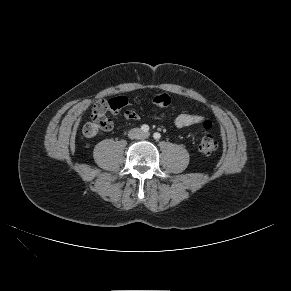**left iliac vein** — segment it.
Instances as JSON below:
<instances>
[{
    "label": "left iliac vein",
    "instance_id": "left-iliac-vein-1",
    "mask_svg": "<svg viewBox=\"0 0 291 291\" xmlns=\"http://www.w3.org/2000/svg\"><path fill=\"white\" fill-rule=\"evenodd\" d=\"M150 136L149 133H142L141 138L146 139Z\"/></svg>",
    "mask_w": 291,
    "mask_h": 291
}]
</instances>
